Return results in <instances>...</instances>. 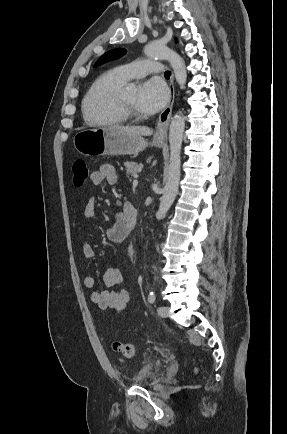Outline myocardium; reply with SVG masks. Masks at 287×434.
Here are the masks:
<instances>
[{
  "mask_svg": "<svg viewBox=\"0 0 287 434\" xmlns=\"http://www.w3.org/2000/svg\"><path fill=\"white\" fill-rule=\"evenodd\" d=\"M123 88L120 87L114 96V104L116 109L119 111V113L126 119H135L140 118L141 114L135 110L134 108L130 107L123 99L122 96Z\"/></svg>",
  "mask_w": 287,
  "mask_h": 434,
  "instance_id": "myocardium-1",
  "label": "myocardium"
}]
</instances>
